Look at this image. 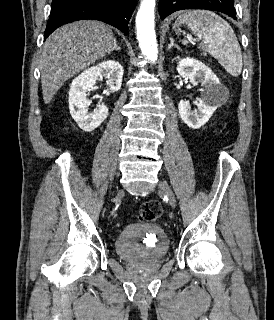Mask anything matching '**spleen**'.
Returning <instances> with one entry per match:
<instances>
[{
    "label": "spleen",
    "instance_id": "1",
    "mask_svg": "<svg viewBox=\"0 0 274 320\" xmlns=\"http://www.w3.org/2000/svg\"><path fill=\"white\" fill-rule=\"evenodd\" d=\"M176 24H188L191 32L202 40V50L209 52L228 74L237 78L242 72L243 60L238 40L229 24L208 10H185ZM182 44H188L182 40Z\"/></svg>",
    "mask_w": 274,
    "mask_h": 320
}]
</instances>
